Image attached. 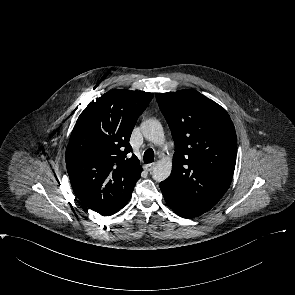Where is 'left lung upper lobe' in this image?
<instances>
[{"mask_svg":"<svg viewBox=\"0 0 295 295\" xmlns=\"http://www.w3.org/2000/svg\"><path fill=\"white\" fill-rule=\"evenodd\" d=\"M156 98L176 149L171 175L160 184L192 215H202L231 183L237 155L234 125L224 108L195 90Z\"/></svg>","mask_w":295,"mask_h":295,"instance_id":"1","label":"left lung upper lobe"}]
</instances>
